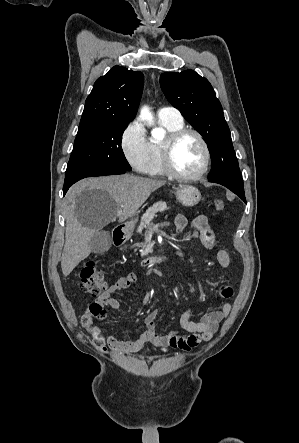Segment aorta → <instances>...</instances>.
<instances>
[{
	"mask_svg": "<svg viewBox=\"0 0 299 443\" xmlns=\"http://www.w3.org/2000/svg\"><path fill=\"white\" fill-rule=\"evenodd\" d=\"M141 116H142L143 119H145L148 122V124L150 126L153 125V117H152L151 113L148 110L143 109L141 111ZM164 134H165V131L162 128L155 127L151 131V135L155 139H162L164 137Z\"/></svg>",
	"mask_w": 299,
	"mask_h": 443,
	"instance_id": "762f6f07",
	"label": "aorta"
}]
</instances>
